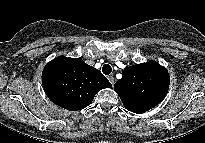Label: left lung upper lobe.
Listing matches in <instances>:
<instances>
[{
	"instance_id": "obj_1",
	"label": "left lung upper lobe",
	"mask_w": 205,
	"mask_h": 143,
	"mask_svg": "<svg viewBox=\"0 0 205 143\" xmlns=\"http://www.w3.org/2000/svg\"><path fill=\"white\" fill-rule=\"evenodd\" d=\"M168 71L151 61L126 67L122 78L114 85L124 107L134 113H144L166 96L169 88Z\"/></svg>"
}]
</instances>
